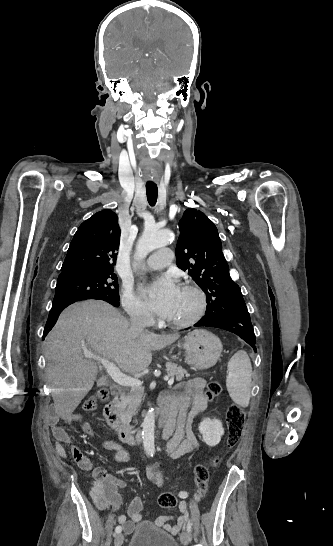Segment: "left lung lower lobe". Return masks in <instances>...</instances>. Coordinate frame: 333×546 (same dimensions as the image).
Listing matches in <instances>:
<instances>
[{
  "label": "left lung lower lobe",
  "mask_w": 333,
  "mask_h": 546,
  "mask_svg": "<svg viewBox=\"0 0 333 546\" xmlns=\"http://www.w3.org/2000/svg\"><path fill=\"white\" fill-rule=\"evenodd\" d=\"M195 326L216 327L240 336L256 352V336L246 305L238 308H225L221 313L206 314Z\"/></svg>",
  "instance_id": "1"
}]
</instances>
